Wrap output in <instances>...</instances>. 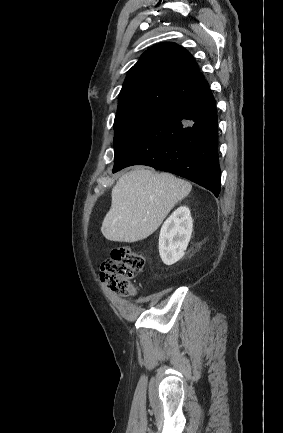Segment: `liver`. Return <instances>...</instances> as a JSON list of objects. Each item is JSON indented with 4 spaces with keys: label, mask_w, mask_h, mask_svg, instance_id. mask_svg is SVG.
Wrapping results in <instances>:
<instances>
[{
    "label": "liver",
    "mask_w": 283,
    "mask_h": 433,
    "mask_svg": "<svg viewBox=\"0 0 283 433\" xmlns=\"http://www.w3.org/2000/svg\"><path fill=\"white\" fill-rule=\"evenodd\" d=\"M192 184L169 172L135 168L112 188V204L101 231L108 241L135 243L152 235Z\"/></svg>",
    "instance_id": "obj_1"
}]
</instances>
